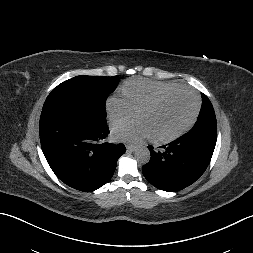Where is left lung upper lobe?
<instances>
[{
	"instance_id": "1",
	"label": "left lung upper lobe",
	"mask_w": 253,
	"mask_h": 253,
	"mask_svg": "<svg viewBox=\"0 0 253 253\" xmlns=\"http://www.w3.org/2000/svg\"><path fill=\"white\" fill-rule=\"evenodd\" d=\"M203 105L195 126L187 133H198L209 136L212 139L217 138V122L213 106L208 97L202 93Z\"/></svg>"
}]
</instances>
